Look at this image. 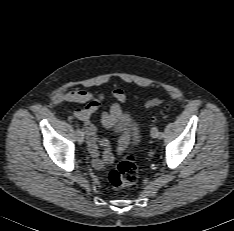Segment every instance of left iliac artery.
I'll return each mask as SVG.
<instances>
[{
	"mask_svg": "<svg viewBox=\"0 0 234 231\" xmlns=\"http://www.w3.org/2000/svg\"><path fill=\"white\" fill-rule=\"evenodd\" d=\"M164 134L162 132H158V138H162Z\"/></svg>",
	"mask_w": 234,
	"mask_h": 231,
	"instance_id": "left-iliac-artery-1",
	"label": "left iliac artery"
}]
</instances>
